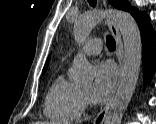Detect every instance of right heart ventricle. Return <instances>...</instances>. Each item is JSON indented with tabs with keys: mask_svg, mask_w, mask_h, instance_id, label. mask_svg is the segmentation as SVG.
Returning a JSON list of instances; mask_svg holds the SVG:
<instances>
[{
	"mask_svg": "<svg viewBox=\"0 0 156 124\" xmlns=\"http://www.w3.org/2000/svg\"><path fill=\"white\" fill-rule=\"evenodd\" d=\"M81 89L63 76H57L51 83L44 104L45 115L60 123H72L81 115Z\"/></svg>",
	"mask_w": 156,
	"mask_h": 124,
	"instance_id": "obj_1",
	"label": "right heart ventricle"
}]
</instances>
